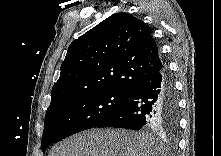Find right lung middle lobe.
Masks as SVG:
<instances>
[{
    "mask_svg": "<svg viewBox=\"0 0 221 156\" xmlns=\"http://www.w3.org/2000/svg\"><path fill=\"white\" fill-rule=\"evenodd\" d=\"M128 96L127 92L99 91L50 106L45 115L42 151L68 136L95 127L121 107Z\"/></svg>",
    "mask_w": 221,
    "mask_h": 156,
    "instance_id": "right-lung-middle-lobe-1",
    "label": "right lung middle lobe"
}]
</instances>
